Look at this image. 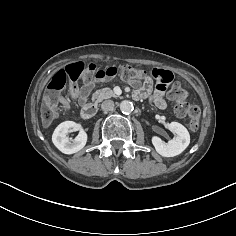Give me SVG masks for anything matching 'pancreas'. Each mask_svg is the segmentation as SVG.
<instances>
[{
	"mask_svg": "<svg viewBox=\"0 0 236 236\" xmlns=\"http://www.w3.org/2000/svg\"><path fill=\"white\" fill-rule=\"evenodd\" d=\"M111 97H117V95L110 88H102L93 93L92 100L95 101L96 104H98L104 99H108Z\"/></svg>",
	"mask_w": 236,
	"mask_h": 236,
	"instance_id": "cf45deb5",
	"label": "pancreas"
}]
</instances>
